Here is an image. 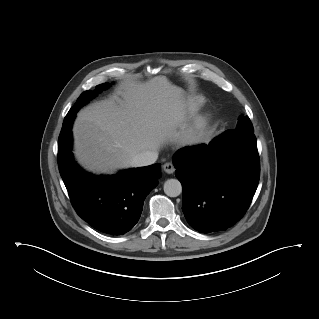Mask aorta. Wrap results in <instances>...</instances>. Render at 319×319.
<instances>
[{
	"label": "aorta",
	"mask_w": 319,
	"mask_h": 319,
	"mask_svg": "<svg viewBox=\"0 0 319 319\" xmlns=\"http://www.w3.org/2000/svg\"><path fill=\"white\" fill-rule=\"evenodd\" d=\"M164 192L169 197H177L182 192V185L177 179H168L164 183Z\"/></svg>",
	"instance_id": "1"
}]
</instances>
